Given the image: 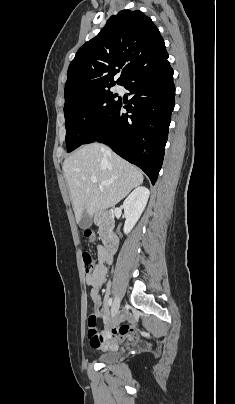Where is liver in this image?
Returning a JSON list of instances; mask_svg holds the SVG:
<instances>
[{"mask_svg":"<svg viewBox=\"0 0 235 404\" xmlns=\"http://www.w3.org/2000/svg\"><path fill=\"white\" fill-rule=\"evenodd\" d=\"M63 171L78 223L85 210L92 217L115 206L143 183V174L137 167L97 142L80 147L66 158ZM92 177L97 183L91 181ZM102 182L111 184L99 187Z\"/></svg>","mask_w":235,"mask_h":404,"instance_id":"1","label":"liver"}]
</instances>
